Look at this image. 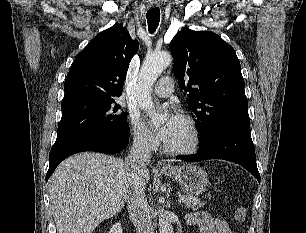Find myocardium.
I'll return each instance as SVG.
<instances>
[{
  "instance_id": "obj_1",
  "label": "myocardium",
  "mask_w": 306,
  "mask_h": 233,
  "mask_svg": "<svg viewBox=\"0 0 306 233\" xmlns=\"http://www.w3.org/2000/svg\"><path fill=\"white\" fill-rule=\"evenodd\" d=\"M181 119H183L188 124L191 130L192 142L188 147L185 148H171L166 143H164L163 145L164 151L171 155L185 156V155L194 154L198 151L201 144V132L196 120L188 114H183L181 116Z\"/></svg>"
}]
</instances>
